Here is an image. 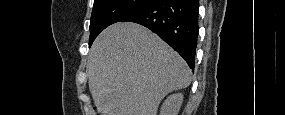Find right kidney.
Masks as SVG:
<instances>
[{"label":"right kidney","mask_w":285,"mask_h":115,"mask_svg":"<svg viewBox=\"0 0 285 115\" xmlns=\"http://www.w3.org/2000/svg\"><path fill=\"white\" fill-rule=\"evenodd\" d=\"M182 102L183 94L181 93L168 96L161 107L160 115H178Z\"/></svg>","instance_id":"right-kidney-1"}]
</instances>
